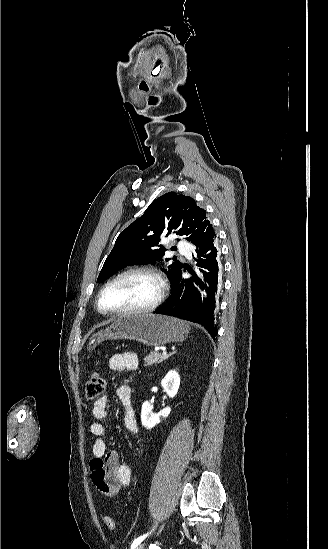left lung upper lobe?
Here are the masks:
<instances>
[{"mask_svg": "<svg viewBox=\"0 0 328 549\" xmlns=\"http://www.w3.org/2000/svg\"><path fill=\"white\" fill-rule=\"evenodd\" d=\"M161 234L181 236L196 248L215 236L206 211L193 198L168 192L154 200L141 217L119 234L97 281L108 279L126 266L154 264L161 259L166 251L159 244ZM169 260L167 258L166 262ZM166 267L162 271L173 283L183 265L173 258Z\"/></svg>", "mask_w": 328, "mask_h": 549, "instance_id": "left-lung-upper-lobe-1", "label": "left lung upper lobe"}]
</instances>
